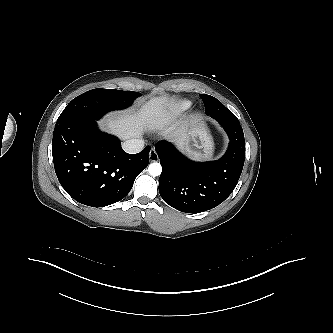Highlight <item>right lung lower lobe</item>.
Instances as JSON below:
<instances>
[{
  "mask_svg": "<svg viewBox=\"0 0 333 333\" xmlns=\"http://www.w3.org/2000/svg\"><path fill=\"white\" fill-rule=\"evenodd\" d=\"M150 147L128 154L120 140L101 132L95 120H57L52 140L56 175L79 203L104 207L123 199L147 167Z\"/></svg>",
  "mask_w": 333,
  "mask_h": 333,
  "instance_id": "98d812e1",
  "label": "right lung lower lobe"
}]
</instances>
